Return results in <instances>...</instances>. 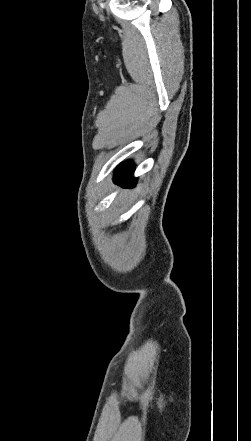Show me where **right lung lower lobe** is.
Listing matches in <instances>:
<instances>
[{
  "mask_svg": "<svg viewBox=\"0 0 251 441\" xmlns=\"http://www.w3.org/2000/svg\"><path fill=\"white\" fill-rule=\"evenodd\" d=\"M134 165L132 161H128L125 164L118 167L114 180L118 185L132 188L135 186V179L133 178Z\"/></svg>",
  "mask_w": 251,
  "mask_h": 441,
  "instance_id": "right-lung-lower-lobe-1",
  "label": "right lung lower lobe"
}]
</instances>
